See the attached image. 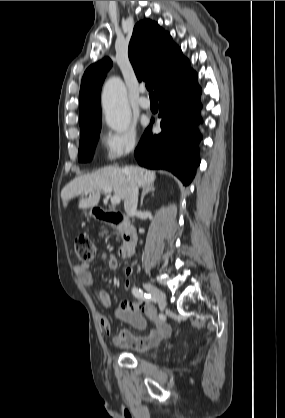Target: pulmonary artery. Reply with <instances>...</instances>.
Listing matches in <instances>:
<instances>
[{"mask_svg": "<svg viewBox=\"0 0 285 418\" xmlns=\"http://www.w3.org/2000/svg\"><path fill=\"white\" fill-rule=\"evenodd\" d=\"M140 92H141V97L138 99V105L143 110H149L151 107V103H150V100L145 96L146 89L141 88Z\"/></svg>", "mask_w": 285, "mask_h": 418, "instance_id": "1", "label": "pulmonary artery"}]
</instances>
